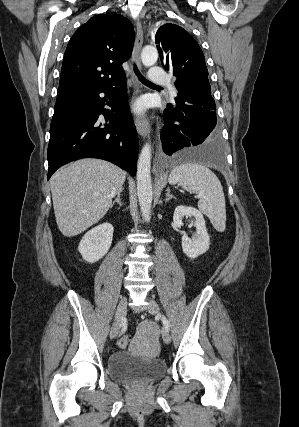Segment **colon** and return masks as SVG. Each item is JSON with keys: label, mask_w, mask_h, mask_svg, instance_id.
<instances>
[{"label": "colon", "mask_w": 299, "mask_h": 427, "mask_svg": "<svg viewBox=\"0 0 299 427\" xmlns=\"http://www.w3.org/2000/svg\"><path fill=\"white\" fill-rule=\"evenodd\" d=\"M129 344V337L128 336H122L120 337V339L118 340V345L121 348H126Z\"/></svg>", "instance_id": "obj_1"}]
</instances>
